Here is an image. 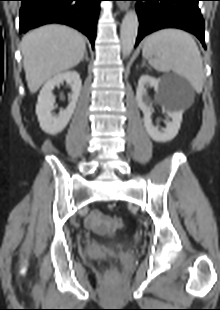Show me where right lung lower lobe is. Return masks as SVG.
Wrapping results in <instances>:
<instances>
[{
    "label": "right lung lower lobe",
    "mask_w": 220,
    "mask_h": 310,
    "mask_svg": "<svg viewBox=\"0 0 220 310\" xmlns=\"http://www.w3.org/2000/svg\"><path fill=\"white\" fill-rule=\"evenodd\" d=\"M20 33L47 24L61 23L85 34L92 46L102 0H21Z\"/></svg>",
    "instance_id": "right-lung-lower-lobe-1"
}]
</instances>
